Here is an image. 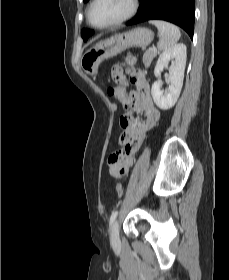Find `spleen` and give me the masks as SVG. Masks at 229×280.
Instances as JSON below:
<instances>
[{"instance_id": "1", "label": "spleen", "mask_w": 229, "mask_h": 280, "mask_svg": "<svg viewBox=\"0 0 229 280\" xmlns=\"http://www.w3.org/2000/svg\"><path fill=\"white\" fill-rule=\"evenodd\" d=\"M149 23L155 25L159 31V50L165 51L173 47L180 39V30L175 25L161 20H151Z\"/></svg>"}]
</instances>
